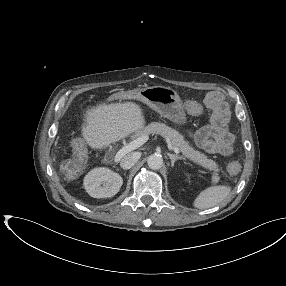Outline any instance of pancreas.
<instances>
[{"label": "pancreas", "mask_w": 286, "mask_h": 286, "mask_svg": "<svg viewBox=\"0 0 286 286\" xmlns=\"http://www.w3.org/2000/svg\"><path fill=\"white\" fill-rule=\"evenodd\" d=\"M154 134L161 135L167 140H169L170 144L173 147L178 148L182 152L184 157L190 159L194 163L206 169L213 171L211 178L212 182H219V168L216 162L211 159H208L205 154L194 150L191 146H189L188 142L184 140V137L179 132L167 126L166 124L160 122L151 123L150 125L138 131L136 135L142 136Z\"/></svg>", "instance_id": "pancreas-1"}]
</instances>
